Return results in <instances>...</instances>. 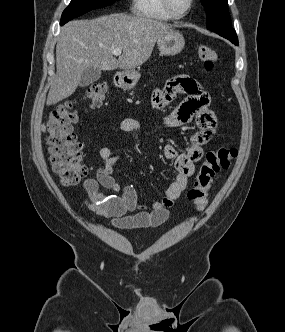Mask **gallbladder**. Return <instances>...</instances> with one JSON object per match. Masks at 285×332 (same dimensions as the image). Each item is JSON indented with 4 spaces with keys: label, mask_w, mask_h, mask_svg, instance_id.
I'll return each mask as SVG.
<instances>
[{
    "label": "gallbladder",
    "mask_w": 285,
    "mask_h": 332,
    "mask_svg": "<svg viewBox=\"0 0 285 332\" xmlns=\"http://www.w3.org/2000/svg\"><path fill=\"white\" fill-rule=\"evenodd\" d=\"M101 77V70L98 68H94V67H89L87 68L80 79L79 82V86L80 87H87L90 84L96 82L97 80H99Z\"/></svg>",
    "instance_id": "1"
}]
</instances>
